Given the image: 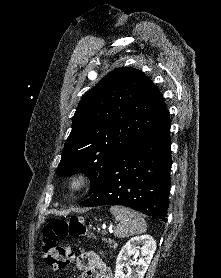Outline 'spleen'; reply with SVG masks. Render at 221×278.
<instances>
[{
    "mask_svg": "<svg viewBox=\"0 0 221 278\" xmlns=\"http://www.w3.org/2000/svg\"><path fill=\"white\" fill-rule=\"evenodd\" d=\"M110 211L119 222L114 230L116 237L125 238L146 232V222L136 211L123 206H111Z\"/></svg>",
    "mask_w": 221,
    "mask_h": 278,
    "instance_id": "spleen-1",
    "label": "spleen"
}]
</instances>
